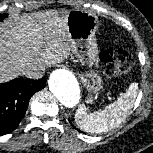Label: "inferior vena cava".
<instances>
[{
    "label": "inferior vena cava",
    "instance_id": "602c4592",
    "mask_svg": "<svg viewBox=\"0 0 153 153\" xmlns=\"http://www.w3.org/2000/svg\"><path fill=\"white\" fill-rule=\"evenodd\" d=\"M45 70L44 63H33L29 64L22 73L29 79H40L45 74Z\"/></svg>",
    "mask_w": 153,
    "mask_h": 153
}]
</instances>
